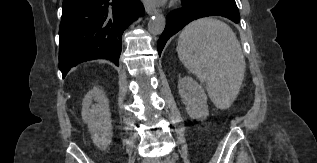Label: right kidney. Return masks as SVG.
<instances>
[{
  "label": "right kidney",
  "mask_w": 317,
  "mask_h": 163,
  "mask_svg": "<svg viewBox=\"0 0 317 163\" xmlns=\"http://www.w3.org/2000/svg\"><path fill=\"white\" fill-rule=\"evenodd\" d=\"M81 114L93 143L105 150L112 142L111 112L109 101L99 87H94L85 95Z\"/></svg>",
  "instance_id": "right-kidney-1"
}]
</instances>
